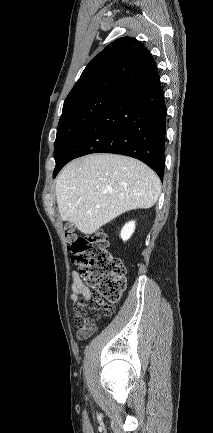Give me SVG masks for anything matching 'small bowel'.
I'll return each mask as SVG.
<instances>
[{"mask_svg": "<svg viewBox=\"0 0 213 433\" xmlns=\"http://www.w3.org/2000/svg\"><path fill=\"white\" fill-rule=\"evenodd\" d=\"M91 297L90 290L85 286L81 280L79 274L76 271L72 272V283L70 285V298L76 302L77 307L83 300H88ZM96 326L93 323L91 326L85 329H79L77 336L79 339H86L92 335L95 331Z\"/></svg>", "mask_w": 213, "mask_h": 433, "instance_id": "1", "label": "small bowel"}]
</instances>
